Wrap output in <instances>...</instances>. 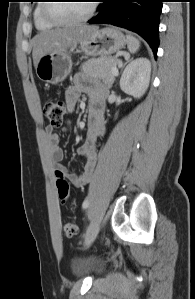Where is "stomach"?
Masks as SVG:
<instances>
[{
	"label": "stomach",
	"instance_id": "obj_1",
	"mask_svg": "<svg viewBox=\"0 0 195 299\" xmlns=\"http://www.w3.org/2000/svg\"><path fill=\"white\" fill-rule=\"evenodd\" d=\"M127 43L124 34L118 29L97 28L86 39L65 51L42 56L36 66L38 78L46 83L57 84L66 79L72 69V53L82 52L87 56H111Z\"/></svg>",
	"mask_w": 195,
	"mask_h": 299
}]
</instances>
